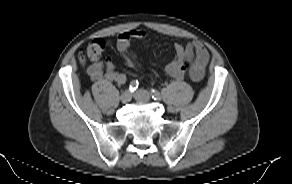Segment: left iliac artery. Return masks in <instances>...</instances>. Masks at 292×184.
Wrapping results in <instances>:
<instances>
[{"mask_svg": "<svg viewBox=\"0 0 292 184\" xmlns=\"http://www.w3.org/2000/svg\"><path fill=\"white\" fill-rule=\"evenodd\" d=\"M151 95H152V98L157 101H160L162 98L160 92L155 89H151Z\"/></svg>", "mask_w": 292, "mask_h": 184, "instance_id": "left-iliac-artery-1", "label": "left iliac artery"}]
</instances>
